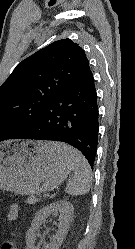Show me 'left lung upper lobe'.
Segmentation results:
<instances>
[{
	"label": "left lung upper lobe",
	"mask_w": 135,
	"mask_h": 249,
	"mask_svg": "<svg viewBox=\"0 0 135 249\" xmlns=\"http://www.w3.org/2000/svg\"><path fill=\"white\" fill-rule=\"evenodd\" d=\"M91 72L84 50L61 39L23 60L0 87V141L34 130L45 109Z\"/></svg>",
	"instance_id": "1"
}]
</instances>
